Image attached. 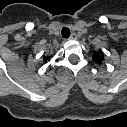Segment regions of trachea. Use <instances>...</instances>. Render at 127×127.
I'll use <instances>...</instances> for the list:
<instances>
[{
    "mask_svg": "<svg viewBox=\"0 0 127 127\" xmlns=\"http://www.w3.org/2000/svg\"><path fill=\"white\" fill-rule=\"evenodd\" d=\"M61 33L64 38H69V36H70V30L67 27H64L62 29Z\"/></svg>",
    "mask_w": 127,
    "mask_h": 127,
    "instance_id": "trachea-1",
    "label": "trachea"
}]
</instances>
